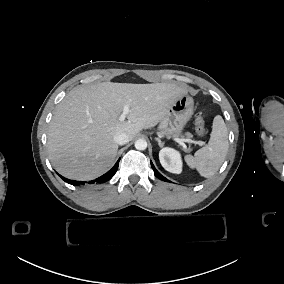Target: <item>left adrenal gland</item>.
Listing matches in <instances>:
<instances>
[{
  "label": "left adrenal gland",
  "instance_id": "1",
  "mask_svg": "<svg viewBox=\"0 0 284 284\" xmlns=\"http://www.w3.org/2000/svg\"><path fill=\"white\" fill-rule=\"evenodd\" d=\"M156 141L159 142V146H160V147H163L162 141H161L160 139L156 138Z\"/></svg>",
  "mask_w": 284,
  "mask_h": 284
}]
</instances>
